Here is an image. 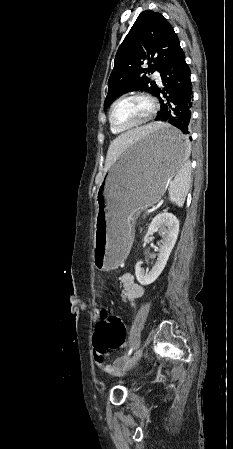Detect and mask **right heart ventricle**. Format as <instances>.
Listing matches in <instances>:
<instances>
[{"label": "right heart ventricle", "instance_id": "right-heart-ventricle-1", "mask_svg": "<svg viewBox=\"0 0 233 449\" xmlns=\"http://www.w3.org/2000/svg\"><path fill=\"white\" fill-rule=\"evenodd\" d=\"M110 129H111V131H112L113 134H119V133H121L120 131H117V130L113 129L112 127H110Z\"/></svg>", "mask_w": 233, "mask_h": 449}]
</instances>
